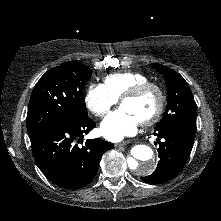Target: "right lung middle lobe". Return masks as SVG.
<instances>
[{"mask_svg":"<svg viewBox=\"0 0 221 221\" xmlns=\"http://www.w3.org/2000/svg\"><path fill=\"white\" fill-rule=\"evenodd\" d=\"M92 70L70 61L47 71L35 85L27 113L28 134L65 126L87 116L83 89Z\"/></svg>","mask_w":221,"mask_h":221,"instance_id":"right-lung-middle-lobe-1","label":"right lung middle lobe"}]
</instances>
